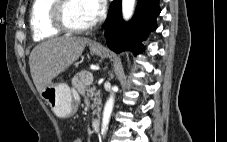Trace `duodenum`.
Masks as SVG:
<instances>
[{
	"mask_svg": "<svg viewBox=\"0 0 227 142\" xmlns=\"http://www.w3.org/2000/svg\"><path fill=\"white\" fill-rule=\"evenodd\" d=\"M100 129V119L95 117L91 122V130L93 133H97Z\"/></svg>",
	"mask_w": 227,
	"mask_h": 142,
	"instance_id": "obj_1",
	"label": "duodenum"
}]
</instances>
